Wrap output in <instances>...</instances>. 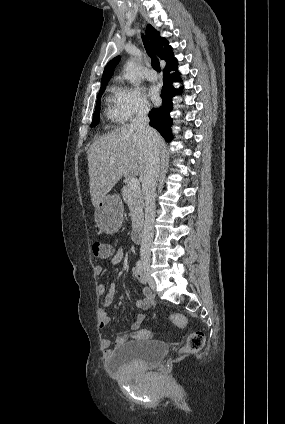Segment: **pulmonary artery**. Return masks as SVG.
<instances>
[{
    "instance_id": "obj_1",
    "label": "pulmonary artery",
    "mask_w": 285,
    "mask_h": 424,
    "mask_svg": "<svg viewBox=\"0 0 285 424\" xmlns=\"http://www.w3.org/2000/svg\"><path fill=\"white\" fill-rule=\"evenodd\" d=\"M145 77L149 81H156L158 79L157 73L152 69H149L146 72Z\"/></svg>"
}]
</instances>
